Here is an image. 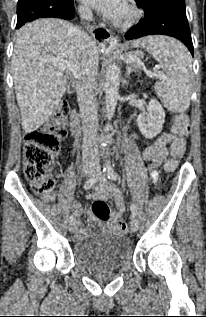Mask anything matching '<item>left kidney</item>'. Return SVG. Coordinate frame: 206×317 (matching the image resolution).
I'll use <instances>...</instances> for the list:
<instances>
[{
  "instance_id": "left-kidney-1",
  "label": "left kidney",
  "mask_w": 206,
  "mask_h": 317,
  "mask_svg": "<svg viewBox=\"0 0 206 317\" xmlns=\"http://www.w3.org/2000/svg\"><path fill=\"white\" fill-rule=\"evenodd\" d=\"M164 121V109L155 99L150 100L147 112L139 114L137 117L138 128L146 138L157 136L162 131Z\"/></svg>"
}]
</instances>
